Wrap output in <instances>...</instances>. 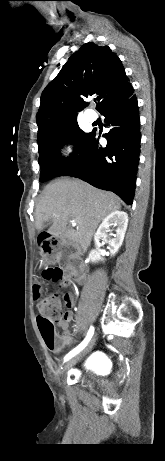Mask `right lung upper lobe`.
I'll use <instances>...</instances> for the list:
<instances>
[{"label":"right lung upper lobe","instance_id":"right-lung-upper-lobe-1","mask_svg":"<svg viewBox=\"0 0 165 461\" xmlns=\"http://www.w3.org/2000/svg\"><path fill=\"white\" fill-rule=\"evenodd\" d=\"M134 89L118 56L108 46L93 42L80 47L44 89L36 115L38 139L61 125L76 120L87 106L85 98L96 95L102 113L127 100Z\"/></svg>","mask_w":165,"mask_h":461}]
</instances>
